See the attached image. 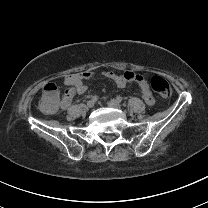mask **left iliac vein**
<instances>
[{
	"label": "left iliac vein",
	"mask_w": 208,
	"mask_h": 208,
	"mask_svg": "<svg viewBox=\"0 0 208 208\" xmlns=\"http://www.w3.org/2000/svg\"><path fill=\"white\" fill-rule=\"evenodd\" d=\"M107 105L109 107L116 108V109H121L122 108V106L120 105V103L117 102L116 100H110V101H108L107 102Z\"/></svg>",
	"instance_id": "4c4485c4"
}]
</instances>
